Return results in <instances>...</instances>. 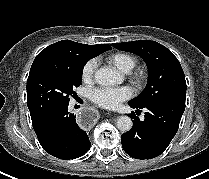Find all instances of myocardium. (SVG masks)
<instances>
[{"label":"myocardium","mask_w":209,"mask_h":179,"mask_svg":"<svg viewBox=\"0 0 209 179\" xmlns=\"http://www.w3.org/2000/svg\"><path fill=\"white\" fill-rule=\"evenodd\" d=\"M146 79L147 75L141 69L135 70L134 72L130 73V80L136 87H142L145 84Z\"/></svg>","instance_id":"1"}]
</instances>
